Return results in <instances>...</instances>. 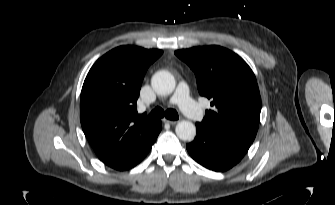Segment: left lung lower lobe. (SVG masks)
I'll return each mask as SVG.
<instances>
[{"mask_svg":"<svg viewBox=\"0 0 335 205\" xmlns=\"http://www.w3.org/2000/svg\"><path fill=\"white\" fill-rule=\"evenodd\" d=\"M197 136L186 148L192 158L214 171H226L246 154L251 143L226 137L196 123Z\"/></svg>","mask_w":335,"mask_h":205,"instance_id":"0a47b994","label":"left lung lower lobe"}]
</instances>
